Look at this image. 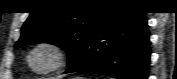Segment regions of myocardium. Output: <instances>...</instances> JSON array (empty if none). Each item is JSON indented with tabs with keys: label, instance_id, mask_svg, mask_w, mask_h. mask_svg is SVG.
I'll list each match as a JSON object with an SVG mask.
<instances>
[{
	"label": "myocardium",
	"instance_id": "obj_1",
	"mask_svg": "<svg viewBox=\"0 0 177 79\" xmlns=\"http://www.w3.org/2000/svg\"><path fill=\"white\" fill-rule=\"evenodd\" d=\"M40 49H49L51 50L54 55H55V61L54 64L46 70H38L36 69L32 63H31V58L33 56V54L35 52H37ZM66 61V51L65 49L58 43L55 42H51V41H42L37 43L28 53L27 55V63L29 65V67L36 73L39 74H50L53 73L55 71H57L58 69H60L63 64Z\"/></svg>",
	"mask_w": 177,
	"mask_h": 79
}]
</instances>
